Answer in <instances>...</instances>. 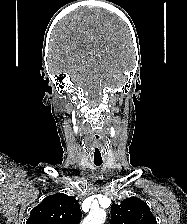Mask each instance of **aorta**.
Returning a JSON list of instances; mask_svg holds the SVG:
<instances>
[{
    "label": "aorta",
    "mask_w": 187,
    "mask_h": 224,
    "mask_svg": "<svg viewBox=\"0 0 187 224\" xmlns=\"http://www.w3.org/2000/svg\"><path fill=\"white\" fill-rule=\"evenodd\" d=\"M106 212L103 209H93L89 212L82 224H104Z\"/></svg>",
    "instance_id": "aorta-1"
}]
</instances>
